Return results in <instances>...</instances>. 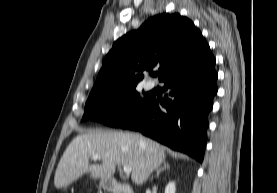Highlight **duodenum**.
Listing matches in <instances>:
<instances>
[{
	"label": "duodenum",
	"mask_w": 277,
	"mask_h": 193,
	"mask_svg": "<svg viewBox=\"0 0 277 193\" xmlns=\"http://www.w3.org/2000/svg\"><path fill=\"white\" fill-rule=\"evenodd\" d=\"M105 187L112 193H134L130 185L120 183L116 180H107Z\"/></svg>",
	"instance_id": "obj_1"
}]
</instances>
